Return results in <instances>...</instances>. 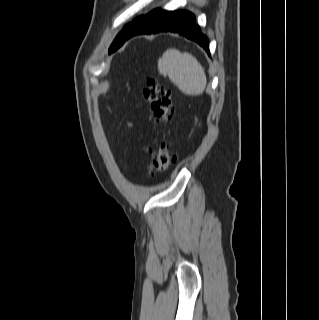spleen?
<instances>
[{
	"label": "spleen",
	"instance_id": "obj_1",
	"mask_svg": "<svg viewBox=\"0 0 319 320\" xmlns=\"http://www.w3.org/2000/svg\"><path fill=\"white\" fill-rule=\"evenodd\" d=\"M157 67L160 74L168 75L170 81L186 95H200L206 88L205 71L190 53L168 49L159 58Z\"/></svg>",
	"mask_w": 319,
	"mask_h": 320
}]
</instances>
